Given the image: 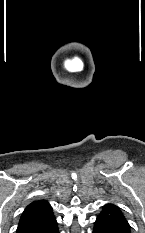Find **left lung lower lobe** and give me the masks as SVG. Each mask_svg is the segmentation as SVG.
I'll return each mask as SVG.
<instances>
[{
  "label": "left lung lower lobe",
  "instance_id": "left-lung-lower-lobe-1",
  "mask_svg": "<svg viewBox=\"0 0 145 233\" xmlns=\"http://www.w3.org/2000/svg\"><path fill=\"white\" fill-rule=\"evenodd\" d=\"M93 233H117V232L113 231L102 222L96 220L94 223Z\"/></svg>",
  "mask_w": 145,
  "mask_h": 233
}]
</instances>
